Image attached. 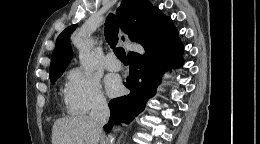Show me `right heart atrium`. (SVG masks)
I'll use <instances>...</instances> for the list:
<instances>
[{
  "label": "right heart atrium",
  "instance_id": "d8ad5b80",
  "mask_svg": "<svg viewBox=\"0 0 260 144\" xmlns=\"http://www.w3.org/2000/svg\"><path fill=\"white\" fill-rule=\"evenodd\" d=\"M64 97L71 112L86 114L107 105L99 79L81 68L68 73Z\"/></svg>",
  "mask_w": 260,
  "mask_h": 144
}]
</instances>
